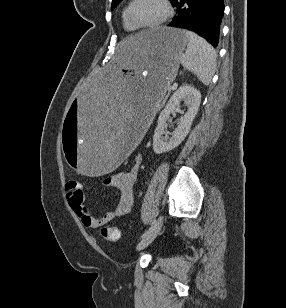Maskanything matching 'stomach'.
<instances>
[{"mask_svg": "<svg viewBox=\"0 0 286 308\" xmlns=\"http://www.w3.org/2000/svg\"><path fill=\"white\" fill-rule=\"evenodd\" d=\"M187 43L184 30L170 27L124 36L65 112L62 153L71 173L109 177L122 168L153 125L154 107L174 81Z\"/></svg>", "mask_w": 286, "mask_h": 308, "instance_id": "0dacf381", "label": "stomach"}]
</instances>
